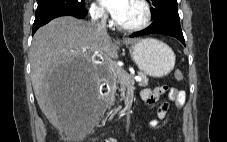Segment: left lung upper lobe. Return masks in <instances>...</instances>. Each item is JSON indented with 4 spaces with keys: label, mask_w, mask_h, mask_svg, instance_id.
I'll return each instance as SVG.
<instances>
[{
    "label": "left lung upper lobe",
    "mask_w": 227,
    "mask_h": 142,
    "mask_svg": "<svg viewBox=\"0 0 227 142\" xmlns=\"http://www.w3.org/2000/svg\"><path fill=\"white\" fill-rule=\"evenodd\" d=\"M151 2L154 6L151 9V15L154 19L153 24L170 23L180 25L176 0H151Z\"/></svg>",
    "instance_id": "obj_1"
}]
</instances>
